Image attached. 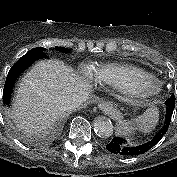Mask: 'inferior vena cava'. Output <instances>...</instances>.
Here are the masks:
<instances>
[{"label":"inferior vena cava","mask_w":177,"mask_h":177,"mask_svg":"<svg viewBox=\"0 0 177 177\" xmlns=\"http://www.w3.org/2000/svg\"><path fill=\"white\" fill-rule=\"evenodd\" d=\"M88 99V95L85 93L74 94L67 96L61 100V108L65 112L72 111L82 105Z\"/></svg>","instance_id":"1"}]
</instances>
